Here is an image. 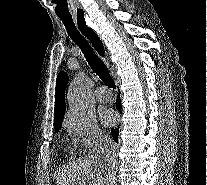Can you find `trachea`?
I'll return each instance as SVG.
<instances>
[{"label":"trachea","instance_id":"1","mask_svg":"<svg viewBox=\"0 0 207 185\" xmlns=\"http://www.w3.org/2000/svg\"><path fill=\"white\" fill-rule=\"evenodd\" d=\"M59 18L64 23L68 35L74 40L77 45L81 48L82 52L85 55L87 62L89 63L90 67L92 68L93 72H95L101 80L111 88H115V84L109 74V71L105 65V63L97 57L94 50L91 48L89 43L87 42L86 38H89L90 42L93 43L94 48L97 50L100 55H104V48L103 44L94 32L92 28H89L85 22L82 23V28L80 29L81 33L77 30L74 21L71 18L61 17ZM84 35V36H83Z\"/></svg>","mask_w":207,"mask_h":185}]
</instances>
